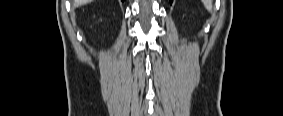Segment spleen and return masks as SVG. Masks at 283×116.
<instances>
[{
  "label": "spleen",
  "mask_w": 283,
  "mask_h": 116,
  "mask_svg": "<svg viewBox=\"0 0 283 116\" xmlns=\"http://www.w3.org/2000/svg\"><path fill=\"white\" fill-rule=\"evenodd\" d=\"M206 8L208 11H212V4H211V0H208L205 4Z\"/></svg>",
  "instance_id": "1"
}]
</instances>
